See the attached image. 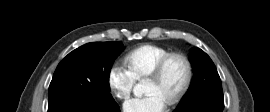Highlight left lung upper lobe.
I'll list each match as a JSON object with an SVG mask.
<instances>
[{
	"instance_id": "5c2ea615",
	"label": "left lung upper lobe",
	"mask_w": 270,
	"mask_h": 112,
	"mask_svg": "<svg viewBox=\"0 0 270 112\" xmlns=\"http://www.w3.org/2000/svg\"><path fill=\"white\" fill-rule=\"evenodd\" d=\"M189 60L194 71L192 87L178 108L208 99L224 100L222 84L210 57L199 48L190 52Z\"/></svg>"
}]
</instances>
